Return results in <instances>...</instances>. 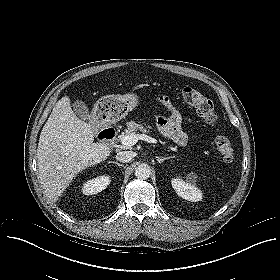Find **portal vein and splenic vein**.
Listing matches in <instances>:
<instances>
[{
	"instance_id": "obj_1",
	"label": "portal vein and splenic vein",
	"mask_w": 280,
	"mask_h": 280,
	"mask_svg": "<svg viewBox=\"0 0 280 280\" xmlns=\"http://www.w3.org/2000/svg\"><path fill=\"white\" fill-rule=\"evenodd\" d=\"M138 140H144L148 143H156V140L146 134H131L120 137V142L125 146H133Z\"/></svg>"
}]
</instances>
